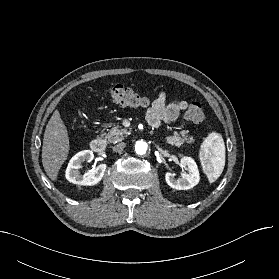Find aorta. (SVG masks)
<instances>
[{
	"mask_svg": "<svg viewBox=\"0 0 279 279\" xmlns=\"http://www.w3.org/2000/svg\"><path fill=\"white\" fill-rule=\"evenodd\" d=\"M148 145L144 141H137L135 144V151L139 155H143L147 152Z\"/></svg>",
	"mask_w": 279,
	"mask_h": 279,
	"instance_id": "762f6f07",
	"label": "aorta"
}]
</instances>
